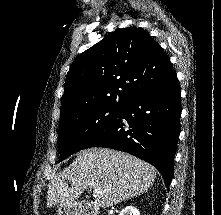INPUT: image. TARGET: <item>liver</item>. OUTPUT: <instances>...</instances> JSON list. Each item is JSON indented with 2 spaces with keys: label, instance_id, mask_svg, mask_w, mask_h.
<instances>
[{
  "label": "liver",
  "instance_id": "6515ba94",
  "mask_svg": "<svg viewBox=\"0 0 221 215\" xmlns=\"http://www.w3.org/2000/svg\"><path fill=\"white\" fill-rule=\"evenodd\" d=\"M150 164L124 152L107 148H90L78 153L48 185L47 207L74 202L88 187L101 189L94 204L109 208L146 192L156 179ZM71 183V187L67 182Z\"/></svg>",
  "mask_w": 221,
  "mask_h": 215
}]
</instances>
